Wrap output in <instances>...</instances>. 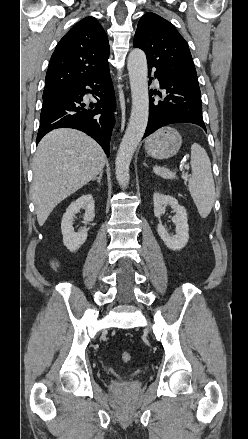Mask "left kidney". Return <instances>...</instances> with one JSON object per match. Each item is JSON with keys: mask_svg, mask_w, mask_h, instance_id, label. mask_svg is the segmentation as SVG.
I'll return each instance as SVG.
<instances>
[{"mask_svg": "<svg viewBox=\"0 0 248 439\" xmlns=\"http://www.w3.org/2000/svg\"><path fill=\"white\" fill-rule=\"evenodd\" d=\"M153 205L154 215L156 217H159L165 212L166 205L171 206L175 212L172 221L176 225V234L170 236L161 222L157 226V231L169 249L181 250L184 248L189 240V226L185 208L179 205L177 199L173 196L164 195L159 192H155L153 195Z\"/></svg>", "mask_w": 248, "mask_h": 439, "instance_id": "obj_1", "label": "left kidney"}]
</instances>
